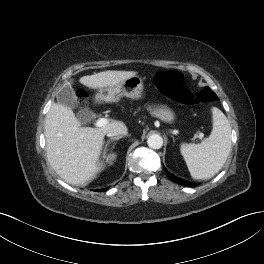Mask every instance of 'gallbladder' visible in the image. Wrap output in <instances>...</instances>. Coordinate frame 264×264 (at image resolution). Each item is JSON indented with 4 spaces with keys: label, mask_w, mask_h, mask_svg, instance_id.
I'll return each instance as SVG.
<instances>
[{
    "label": "gallbladder",
    "mask_w": 264,
    "mask_h": 264,
    "mask_svg": "<svg viewBox=\"0 0 264 264\" xmlns=\"http://www.w3.org/2000/svg\"><path fill=\"white\" fill-rule=\"evenodd\" d=\"M57 101L59 104L70 109H76L78 107L77 98L70 84H64L59 89L57 93ZM76 116L82 124H86L90 119H92L93 113L88 108H81L77 112Z\"/></svg>",
    "instance_id": "gallbladder-1"
}]
</instances>
